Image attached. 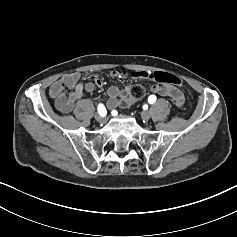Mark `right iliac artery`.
<instances>
[{
  "mask_svg": "<svg viewBox=\"0 0 237 237\" xmlns=\"http://www.w3.org/2000/svg\"><path fill=\"white\" fill-rule=\"evenodd\" d=\"M98 113H99V115H101L103 117L106 116L107 111H106V108L103 104L98 105Z\"/></svg>",
  "mask_w": 237,
  "mask_h": 237,
  "instance_id": "82829eb1",
  "label": "right iliac artery"
}]
</instances>
